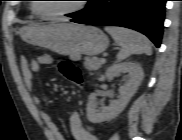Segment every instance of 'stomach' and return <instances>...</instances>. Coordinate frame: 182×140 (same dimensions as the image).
Here are the masks:
<instances>
[{"mask_svg": "<svg viewBox=\"0 0 182 140\" xmlns=\"http://www.w3.org/2000/svg\"><path fill=\"white\" fill-rule=\"evenodd\" d=\"M21 38L60 55H98L108 47V37L97 27L71 23L32 24L20 29Z\"/></svg>", "mask_w": 182, "mask_h": 140, "instance_id": "1", "label": "stomach"}]
</instances>
